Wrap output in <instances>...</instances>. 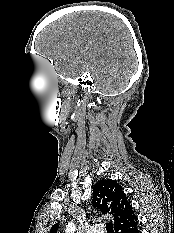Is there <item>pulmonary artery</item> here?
<instances>
[{"label":"pulmonary artery","instance_id":"1","mask_svg":"<svg viewBox=\"0 0 174 233\" xmlns=\"http://www.w3.org/2000/svg\"><path fill=\"white\" fill-rule=\"evenodd\" d=\"M87 233H104V230L100 225H92L89 227Z\"/></svg>","mask_w":174,"mask_h":233}]
</instances>
